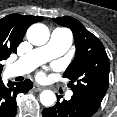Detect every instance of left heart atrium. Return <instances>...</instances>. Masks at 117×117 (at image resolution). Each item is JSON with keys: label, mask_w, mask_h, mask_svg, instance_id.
Here are the masks:
<instances>
[{"label": "left heart atrium", "mask_w": 117, "mask_h": 117, "mask_svg": "<svg viewBox=\"0 0 117 117\" xmlns=\"http://www.w3.org/2000/svg\"><path fill=\"white\" fill-rule=\"evenodd\" d=\"M40 77H43V74L42 73L40 74Z\"/></svg>", "instance_id": "left-heart-atrium-1"}]
</instances>
